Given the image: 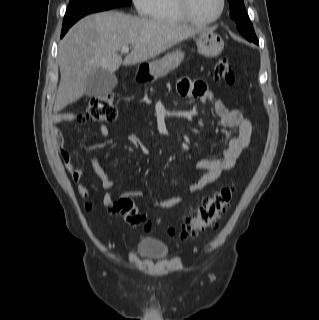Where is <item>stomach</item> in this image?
<instances>
[{"label":"stomach","instance_id":"obj_1","mask_svg":"<svg viewBox=\"0 0 319 320\" xmlns=\"http://www.w3.org/2000/svg\"><path fill=\"white\" fill-rule=\"evenodd\" d=\"M198 52L206 57H217L224 49V41L220 35L213 30H204L196 39ZM184 59V53L175 50L166 54L160 60L148 63L149 75L154 79L165 77L170 71L176 69Z\"/></svg>","mask_w":319,"mask_h":320}]
</instances>
